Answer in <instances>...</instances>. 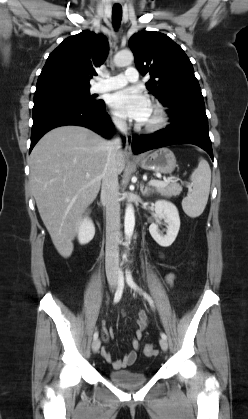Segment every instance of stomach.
I'll list each match as a JSON object with an SVG mask.
<instances>
[{
    "label": "stomach",
    "instance_id": "1",
    "mask_svg": "<svg viewBox=\"0 0 248 419\" xmlns=\"http://www.w3.org/2000/svg\"><path fill=\"white\" fill-rule=\"evenodd\" d=\"M141 168L159 173L168 174L176 167L174 153L168 148H160L138 160Z\"/></svg>",
    "mask_w": 248,
    "mask_h": 419
}]
</instances>
